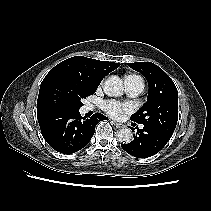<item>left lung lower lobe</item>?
I'll return each mask as SVG.
<instances>
[{
  "label": "left lung lower lobe",
  "mask_w": 211,
  "mask_h": 211,
  "mask_svg": "<svg viewBox=\"0 0 211 211\" xmlns=\"http://www.w3.org/2000/svg\"><path fill=\"white\" fill-rule=\"evenodd\" d=\"M170 136L148 126L142 129L137 127L134 140L128 144H122V148L130 155L138 158L151 157L157 154L170 140Z\"/></svg>",
  "instance_id": "left-lung-lower-lobe-1"
}]
</instances>
